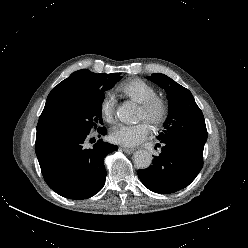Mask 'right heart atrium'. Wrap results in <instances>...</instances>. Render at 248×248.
I'll list each match as a JSON object with an SVG mask.
<instances>
[{
	"instance_id": "right-heart-atrium-1",
	"label": "right heart atrium",
	"mask_w": 248,
	"mask_h": 248,
	"mask_svg": "<svg viewBox=\"0 0 248 248\" xmlns=\"http://www.w3.org/2000/svg\"><path fill=\"white\" fill-rule=\"evenodd\" d=\"M115 113V100L112 94L106 93L100 102V114L107 123H113Z\"/></svg>"
}]
</instances>
